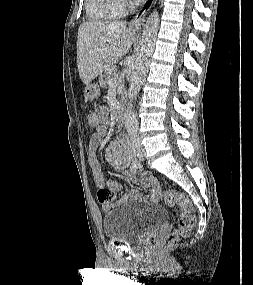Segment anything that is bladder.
I'll list each match as a JSON object with an SVG mask.
<instances>
[{"instance_id": "obj_1", "label": "bladder", "mask_w": 253, "mask_h": 285, "mask_svg": "<svg viewBox=\"0 0 253 285\" xmlns=\"http://www.w3.org/2000/svg\"><path fill=\"white\" fill-rule=\"evenodd\" d=\"M167 220L168 213L162 206L120 201L104 214L102 231L110 241L133 243Z\"/></svg>"}]
</instances>
